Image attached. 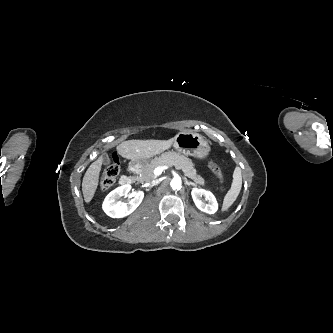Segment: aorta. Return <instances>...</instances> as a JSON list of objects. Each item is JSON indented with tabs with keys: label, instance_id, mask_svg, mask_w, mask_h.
Masks as SVG:
<instances>
[{
	"label": "aorta",
	"instance_id": "aorta-1",
	"mask_svg": "<svg viewBox=\"0 0 333 333\" xmlns=\"http://www.w3.org/2000/svg\"><path fill=\"white\" fill-rule=\"evenodd\" d=\"M170 186L173 190H180L182 188V181L180 178H173L170 182Z\"/></svg>",
	"mask_w": 333,
	"mask_h": 333
}]
</instances>
